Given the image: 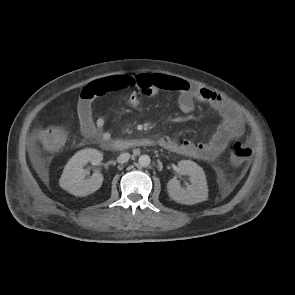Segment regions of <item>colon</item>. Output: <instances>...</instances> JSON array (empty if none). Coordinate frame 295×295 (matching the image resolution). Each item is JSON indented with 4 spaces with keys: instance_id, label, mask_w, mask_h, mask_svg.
Here are the masks:
<instances>
[{
    "instance_id": "1",
    "label": "colon",
    "mask_w": 295,
    "mask_h": 295,
    "mask_svg": "<svg viewBox=\"0 0 295 295\" xmlns=\"http://www.w3.org/2000/svg\"><path fill=\"white\" fill-rule=\"evenodd\" d=\"M38 139L48 150H57L65 142V134L57 128H46L38 133ZM252 156V150L242 142L233 140L229 146V157L233 164L244 169Z\"/></svg>"
}]
</instances>
